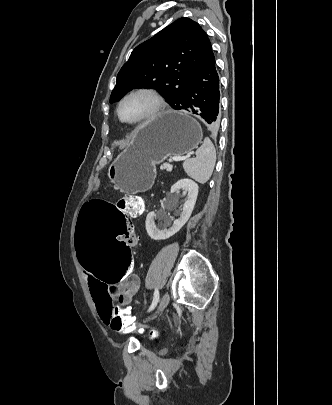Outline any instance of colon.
Masks as SVG:
<instances>
[{"instance_id":"5ec220e1","label":"colon","mask_w":332,"mask_h":405,"mask_svg":"<svg viewBox=\"0 0 332 405\" xmlns=\"http://www.w3.org/2000/svg\"><path fill=\"white\" fill-rule=\"evenodd\" d=\"M78 219L73 220L76 257L85 275H96L107 287H120L121 281H131L134 274L132 249H136V228L128 220V211L140 214L143 201L126 195L117 202H106L105 197H90L82 202ZM125 209L128 211H121ZM130 307L112 306L110 326L120 331H140V336L158 334V325L138 323ZM146 329V331H144ZM147 332V333H146Z\"/></svg>"}]
</instances>
